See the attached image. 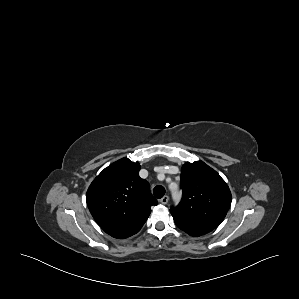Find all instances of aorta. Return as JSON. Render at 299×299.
<instances>
[{"instance_id": "762f6f07", "label": "aorta", "mask_w": 299, "mask_h": 299, "mask_svg": "<svg viewBox=\"0 0 299 299\" xmlns=\"http://www.w3.org/2000/svg\"><path fill=\"white\" fill-rule=\"evenodd\" d=\"M173 200L177 203L181 198V192L178 189H171Z\"/></svg>"}]
</instances>
